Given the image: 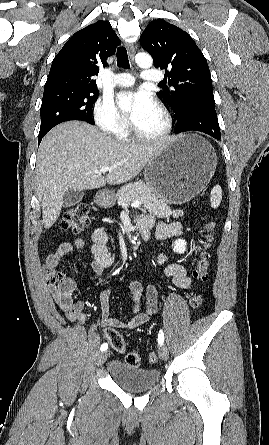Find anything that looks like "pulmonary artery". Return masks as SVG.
I'll return each mask as SVG.
<instances>
[{
    "instance_id": "e3ab8cb5",
    "label": "pulmonary artery",
    "mask_w": 269,
    "mask_h": 445,
    "mask_svg": "<svg viewBox=\"0 0 269 445\" xmlns=\"http://www.w3.org/2000/svg\"><path fill=\"white\" fill-rule=\"evenodd\" d=\"M141 78L146 82H158L163 79V75L157 70L146 69L142 72ZM112 82L115 86L126 87L134 83V78L129 73H119L113 77Z\"/></svg>"
}]
</instances>
